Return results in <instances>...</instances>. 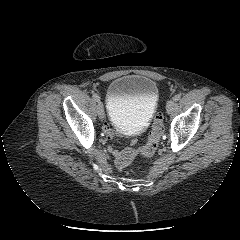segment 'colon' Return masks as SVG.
<instances>
[{"mask_svg": "<svg viewBox=\"0 0 240 240\" xmlns=\"http://www.w3.org/2000/svg\"><path fill=\"white\" fill-rule=\"evenodd\" d=\"M164 132V124H163V116L162 114L156 115L151 132L149 134L147 143L139 148L135 149L133 147H129L122 152L116 157V166L118 168H125L128 166L131 161L134 159V157L138 154L144 155V156H151L155 153L158 144L160 142V139L163 135Z\"/></svg>", "mask_w": 240, "mask_h": 240, "instance_id": "1", "label": "colon"}]
</instances>
